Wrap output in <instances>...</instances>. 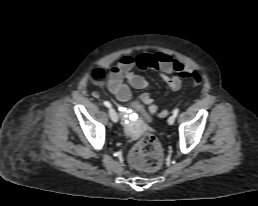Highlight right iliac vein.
<instances>
[{"instance_id": "right-iliac-vein-1", "label": "right iliac vein", "mask_w": 258, "mask_h": 206, "mask_svg": "<svg viewBox=\"0 0 258 206\" xmlns=\"http://www.w3.org/2000/svg\"><path fill=\"white\" fill-rule=\"evenodd\" d=\"M108 112H109V116H110L111 120L115 123L118 122V114L115 111V109L110 108Z\"/></svg>"}]
</instances>
